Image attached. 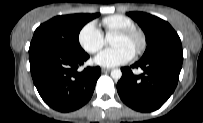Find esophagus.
<instances>
[{
	"mask_svg": "<svg viewBox=\"0 0 203 123\" xmlns=\"http://www.w3.org/2000/svg\"><path fill=\"white\" fill-rule=\"evenodd\" d=\"M101 71L104 72V73H106V72L111 71V69H110V68H102Z\"/></svg>",
	"mask_w": 203,
	"mask_h": 123,
	"instance_id": "34e87169",
	"label": "esophagus"
}]
</instances>
